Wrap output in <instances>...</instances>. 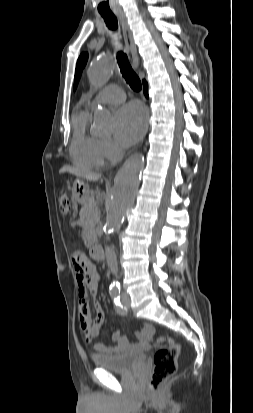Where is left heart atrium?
Here are the masks:
<instances>
[{
    "label": "left heart atrium",
    "instance_id": "obj_1",
    "mask_svg": "<svg viewBox=\"0 0 253 413\" xmlns=\"http://www.w3.org/2000/svg\"><path fill=\"white\" fill-rule=\"evenodd\" d=\"M146 127V113L143 107L132 102L123 106L116 115L115 136L121 145L136 142Z\"/></svg>",
    "mask_w": 253,
    "mask_h": 413
}]
</instances>
